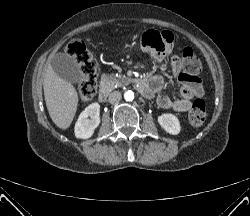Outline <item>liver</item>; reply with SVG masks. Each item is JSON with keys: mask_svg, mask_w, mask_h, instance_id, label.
Wrapping results in <instances>:
<instances>
[{"mask_svg": "<svg viewBox=\"0 0 250 216\" xmlns=\"http://www.w3.org/2000/svg\"><path fill=\"white\" fill-rule=\"evenodd\" d=\"M44 97L49 115L55 125L67 129L75 116L78 94L75 87L59 77L48 65L44 82Z\"/></svg>", "mask_w": 250, "mask_h": 216, "instance_id": "obj_1", "label": "liver"}]
</instances>
